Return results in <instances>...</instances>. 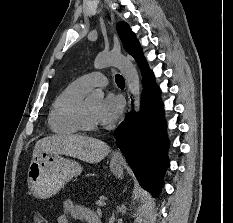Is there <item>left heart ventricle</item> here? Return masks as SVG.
Listing matches in <instances>:
<instances>
[{
	"mask_svg": "<svg viewBox=\"0 0 233 223\" xmlns=\"http://www.w3.org/2000/svg\"><path fill=\"white\" fill-rule=\"evenodd\" d=\"M99 104H100V101L98 100L87 101V109H88L89 116L95 122H98L96 118V113H97Z\"/></svg>",
	"mask_w": 233,
	"mask_h": 223,
	"instance_id": "b2bd125f",
	"label": "left heart ventricle"
}]
</instances>
